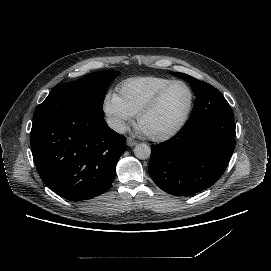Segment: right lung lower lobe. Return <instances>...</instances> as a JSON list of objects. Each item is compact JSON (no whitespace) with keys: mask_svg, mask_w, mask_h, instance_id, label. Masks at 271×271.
<instances>
[{"mask_svg":"<svg viewBox=\"0 0 271 271\" xmlns=\"http://www.w3.org/2000/svg\"><path fill=\"white\" fill-rule=\"evenodd\" d=\"M31 150L43 182L62 197L106 192L125 151L126 138L95 113L53 112L33 120Z\"/></svg>","mask_w":271,"mask_h":271,"instance_id":"1","label":"right lung lower lobe"}]
</instances>
